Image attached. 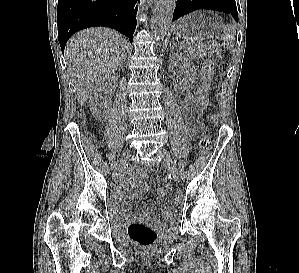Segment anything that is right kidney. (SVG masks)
Returning a JSON list of instances; mask_svg holds the SVG:
<instances>
[{"label":"right kidney","instance_id":"right-kidney-1","mask_svg":"<svg viewBox=\"0 0 299 273\" xmlns=\"http://www.w3.org/2000/svg\"><path fill=\"white\" fill-rule=\"evenodd\" d=\"M118 79L117 75L105 74L99 77L90 91V109L92 111L93 116L99 120L103 121L105 119L106 110L108 106L111 104L109 99H105L103 102L102 92H104L110 81H116Z\"/></svg>","mask_w":299,"mask_h":273}]
</instances>
